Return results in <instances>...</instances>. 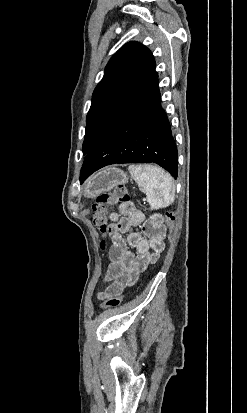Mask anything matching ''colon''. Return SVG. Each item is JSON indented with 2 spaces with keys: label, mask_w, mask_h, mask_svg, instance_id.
<instances>
[{
  "label": "colon",
  "mask_w": 247,
  "mask_h": 413,
  "mask_svg": "<svg viewBox=\"0 0 247 413\" xmlns=\"http://www.w3.org/2000/svg\"><path fill=\"white\" fill-rule=\"evenodd\" d=\"M108 203H122L124 207H131L133 201L131 198H128L126 191L123 187H119L118 189L114 190L113 192H105L97 196L93 206V223L98 228H108L106 216H105V205ZM174 214L172 212H167L165 214V224L168 230L167 238L170 237L171 231L174 227ZM122 300L121 298H107L100 306V309L107 310V309H114L117 308Z\"/></svg>",
  "instance_id": "colon-1"
}]
</instances>
